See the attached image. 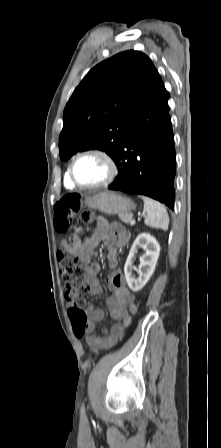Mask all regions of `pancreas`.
Segmentation results:
<instances>
[{
  "mask_svg": "<svg viewBox=\"0 0 221 448\" xmlns=\"http://www.w3.org/2000/svg\"><path fill=\"white\" fill-rule=\"evenodd\" d=\"M119 218L124 223H128L131 221V215H119Z\"/></svg>",
  "mask_w": 221,
  "mask_h": 448,
  "instance_id": "pancreas-1",
  "label": "pancreas"
}]
</instances>
